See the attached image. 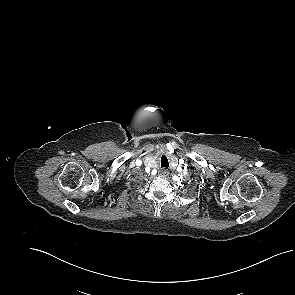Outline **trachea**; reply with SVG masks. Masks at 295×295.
<instances>
[{"mask_svg":"<svg viewBox=\"0 0 295 295\" xmlns=\"http://www.w3.org/2000/svg\"><path fill=\"white\" fill-rule=\"evenodd\" d=\"M163 167L166 169L169 167L168 159L166 156L161 157V168Z\"/></svg>","mask_w":295,"mask_h":295,"instance_id":"trachea-1","label":"trachea"}]
</instances>
